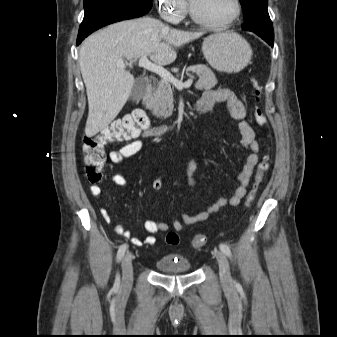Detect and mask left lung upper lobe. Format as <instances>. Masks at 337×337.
I'll list each match as a JSON object with an SVG mask.
<instances>
[{
  "mask_svg": "<svg viewBox=\"0 0 337 337\" xmlns=\"http://www.w3.org/2000/svg\"><path fill=\"white\" fill-rule=\"evenodd\" d=\"M240 3L244 11L245 22L242 24L244 30L274 34L267 10L268 0H240Z\"/></svg>",
  "mask_w": 337,
  "mask_h": 337,
  "instance_id": "5c2ea615",
  "label": "left lung upper lobe"
}]
</instances>
